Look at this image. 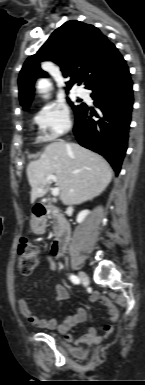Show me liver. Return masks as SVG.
I'll list each match as a JSON object with an SVG mask.
<instances>
[{"mask_svg":"<svg viewBox=\"0 0 145 385\" xmlns=\"http://www.w3.org/2000/svg\"><path fill=\"white\" fill-rule=\"evenodd\" d=\"M28 182L32 188L31 203L42 197L55 175L64 205H78L100 195L113 177L109 163L99 154L79 144L53 142L46 146L39 159L29 162Z\"/></svg>","mask_w":145,"mask_h":385,"instance_id":"6515ba94","label":"liver"}]
</instances>
